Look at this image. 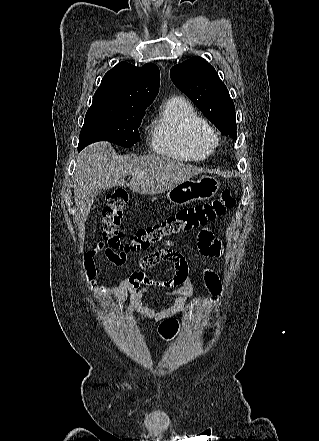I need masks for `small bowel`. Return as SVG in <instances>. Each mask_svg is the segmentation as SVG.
Listing matches in <instances>:
<instances>
[{"mask_svg": "<svg viewBox=\"0 0 319 441\" xmlns=\"http://www.w3.org/2000/svg\"><path fill=\"white\" fill-rule=\"evenodd\" d=\"M206 233L198 236V248L202 255L208 257L219 256L222 253V245L215 238L212 231L205 229ZM96 250L85 254V263L93 265V258ZM161 262H169L174 267V274L167 279L158 280L149 275L146 270L154 267ZM139 271L133 272L129 277L109 286H98L95 294L100 304L113 306L116 313H120L122 305L129 299L130 309L138 312L143 317L152 322H159L182 311H193L186 302L192 293L191 281L188 277V264L185 257L169 244L168 247L155 250L139 261ZM204 282L210 296L211 306L216 304L222 297L223 287L217 273L207 268L204 271ZM144 295H156L173 297V304L169 307L155 311L143 305ZM137 321L139 319L135 317Z\"/></svg>", "mask_w": 319, "mask_h": 441, "instance_id": "1", "label": "small bowel"}]
</instances>
